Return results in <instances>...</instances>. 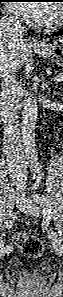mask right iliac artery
<instances>
[{"instance_id":"1","label":"right iliac artery","mask_w":63,"mask_h":297,"mask_svg":"<svg viewBox=\"0 0 63 297\" xmlns=\"http://www.w3.org/2000/svg\"><path fill=\"white\" fill-rule=\"evenodd\" d=\"M10 216H11V213L9 214ZM4 227L5 228H11L12 227V222H11V220H6L5 222H4ZM6 249H7V251L8 252H11L12 251V248L9 246V245H7L6 246Z\"/></svg>"}]
</instances>
